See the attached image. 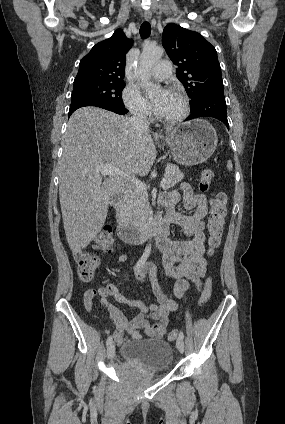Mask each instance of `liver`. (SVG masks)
Here are the masks:
<instances>
[{"label":"liver","mask_w":285,"mask_h":424,"mask_svg":"<svg viewBox=\"0 0 285 424\" xmlns=\"http://www.w3.org/2000/svg\"><path fill=\"white\" fill-rule=\"evenodd\" d=\"M156 155L151 134L137 132L128 117L97 107H83L71 115L59 162V199L73 254L101 231L111 199L129 186L130 181L120 176L102 182L96 169L111 165L134 178L145 176Z\"/></svg>","instance_id":"obj_1"}]
</instances>
